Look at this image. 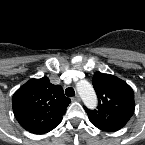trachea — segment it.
Wrapping results in <instances>:
<instances>
[{"instance_id": "trachea-1", "label": "trachea", "mask_w": 145, "mask_h": 145, "mask_svg": "<svg viewBox=\"0 0 145 145\" xmlns=\"http://www.w3.org/2000/svg\"><path fill=\"white\" fill-rule=\"evenodd\" d=\"M65 94L68 97H72V96H75V91H74V89L72 87H68L65 90Z\"/></svg>"}]
</instances>
